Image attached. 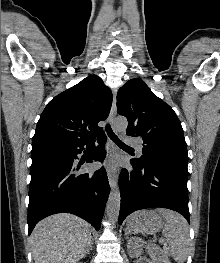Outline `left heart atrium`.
<instances>
[{"label": "left heart atrium", "instance_id": "left-heart-atrium-1", "mask_svg": "<svg viewBox=\"0 0 220 263\" xmlns=\"http://www.w3.org/2000/svg\"><path fill=\"white\" fill-rule=\"evenodd\" d=\"M105 165H106L108 168H110V169L115 168V166L117 165V160H116V158L111 157V158L107 159L106 162H105Z\"/></svg>", "mask_w": 220, "mask_h": 263}]
</instances>
